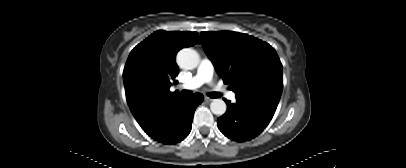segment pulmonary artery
Listing matches in <instances>:
<instances>
[{
    "label": "pulmonary artery",
    "instance_id": "e3ab8cb5",
    "mask_svg": "<svg viewBox=\"0 0 406 168\" xmlns=\"http://www.w3.org/2000/svg\"><path fill=\"white\" fill-rule=\"evenodd\" d=\"M214 68L212 62L207 58H203L197 68L196 74L187 82L181 85L184 89L194 90L204 83H208L212 80ZM216 91L224 92L221 87H215ZM226 97L230 100H235L236 95L234 92H226Z\"/></svg>",
    "mask_w": 406,
    "mask_h": 168
}]
</instances>
